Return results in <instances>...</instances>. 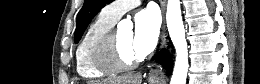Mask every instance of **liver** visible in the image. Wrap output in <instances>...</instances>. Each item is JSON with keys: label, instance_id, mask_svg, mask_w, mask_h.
<instances>
[{"label": "liver", "instance_id": "1", "mask_svg": "<svg viewBox=\"0 0 260 84\" xmlns=\"http://www.w3.org/2000/svg\"><path fill=\"white\" fill-rule=\"evenodd\" d=\"M142 76L137 75H125L113 79H105L101 81H90L88 84H141Z\"/></svg>", "mask_w": 260, "mask_h": 84}]
</instances>
